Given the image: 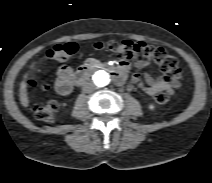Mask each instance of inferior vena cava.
I'll return each mask as SVG.
<instances>
[{
    "instance_id": "obj_1",
    "label": "inferior vena cava",
    "mask_w": 212,
    "mask_h": 183,
    "mask_svg": "<svg viewBox=\"0 0 212 183\" xmlns=\"http://www.w3.org/2000/svg\"><path fill=\"white\" fill-rule=\"evenodd\" d=\"M95 90V87H94V85L92 84V83H90V82H87V83H85L84 85H83V91L85 92V93H91V92H93Z\"/></svg>"
}]
</instances>
